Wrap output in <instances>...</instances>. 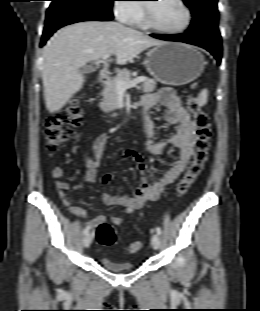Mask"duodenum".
Segmentation results:
<instances>
[{"instance_id":"410a0bca","label":"duodenum","mask_w":260,"mask_h":311,"mask_svg":"<svg viewBox=\"0 0 260 311\" xmlns=\"http://www.w3.org/2000/svg\"><path fill=\"white\" fill-rule=\"evenodd\" d=\"M109 79L108 73L106 71L100 72L96 77V83L97 85L104 84Z\"/></svg>"}]
</instances>
